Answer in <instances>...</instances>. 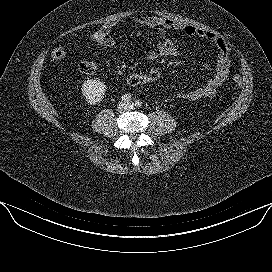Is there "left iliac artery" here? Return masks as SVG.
<instances>
[{
  "instance_id": "obj_1",
  "label": "left iliac artery",
  "mask_w": 272,
  "mask_h": 272,
  "mask_svg": "<svg viewBox=\"0 0 272 272\" xmlns=\"http://www.w3.org/2000/svg\"><path fill=\"white\" fill-rule=\"evenodd\" d=\"M135 106L140 108L142 106V102L140 100L135 101Z\"/></svg>"
}]
</instances>
